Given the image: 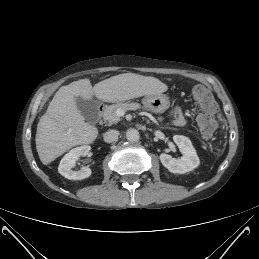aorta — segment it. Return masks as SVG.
<instances>
[{
	"label": "aorta",
	"instance_id": "aorta-1",
	"mask_svg": "<svg viewBox=\"0 0 259 259\" xmlns=\"http://www.w3.org/2000/svg\"><path fill=\"white\" fill-rule=\"evenodd\" d=\"M126 138L128 141L135 142L139 140L140 134L138 130L131 128L126 131Z\"/></svg>",
	"mask_w": 259,
	"mask_h": 259
}]
</instances>
